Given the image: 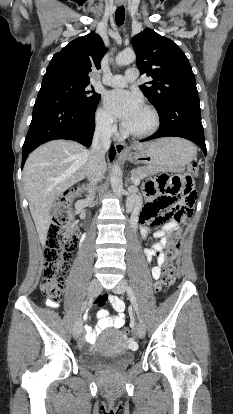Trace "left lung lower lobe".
<instances>
[{"mask_svg":"<svg viewBox=\"0 0 233 414\" xmlns=\"http://www.w3.org/2000/svg\"><path fill=\"white\" fill-rule=\"evenodd\" d=\"M159 117L158 131L141 141L167 136L182 137L197 144L206 155L198 94L181 96L171 100L159 113Z\"/></svg>","mask_w":233,"mask_h":414,"instance_id":"left-lung-lower-lobe-1","label":"left lung lower lobe"}]
</instances>
